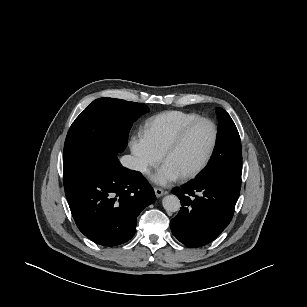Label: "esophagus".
Instances as JSON below:
<instances>
[{
    "mask_svg": "<svg viewBox=\"0 0 307 307\" xmlns=\"http://www.w3.org/2000/svg\"><path fill=\"white\" fill-rule=\"evenodd\" d=\"M154 192H155L156 197H161L165 193L161 188H158V187L154 188Z\"/></svg>",
    "mask_w": 307,
    "mask_h": 307,
    "instance_id": "obj_1",
    "label": "esophagus"
}]
</instances>
